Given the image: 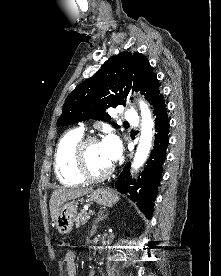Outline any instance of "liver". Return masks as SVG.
<instances>
[{
    "label": "liver",
    "mask_w": 221,
    "mask_h": 276,
    "mask_svg": "<svg viewBox=\"0 0 221 276\" xmlns=\"http://www.w3.org/2000/svg\"><path fill=\"white\" fill-rule=\"evenodd\" d=\"M93 190L91 188H61L55 190L50 198L49 207L52 221H55L61 206L72 199L82 197Z\"/></svg>",
    "instance_id": "6515ba94"
}]
</instances>
